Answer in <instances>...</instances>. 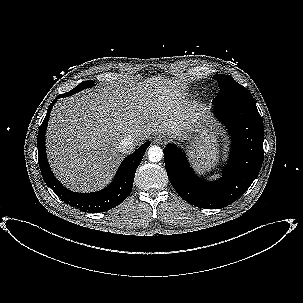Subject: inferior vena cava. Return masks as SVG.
<instances>
[{
    "label": "inferior vena cava",
    "mask_w": 303,
    "mask_h": 303,
    "mask_svg": "<svg viewBox=\"0 0 303 303\" xmlns=\"http://www.w3.org/2000/svg\"><path fill=\"white\" fill-rule=\"evenodd\" d=\"M133 140V136L128 135L127 137L121 140L119 149L125 154L132 152L135 148Z\"/></svg>",
    "instance_id": "obj_1"
}]
</instances>
